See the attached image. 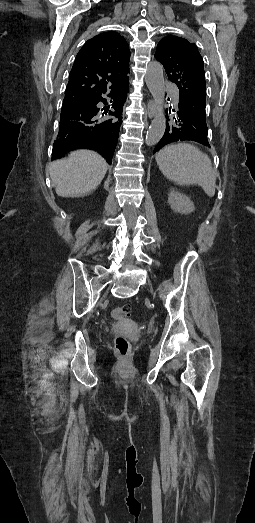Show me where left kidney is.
Returning <instances> with one entry per match:
<instances>
[{
    "label": "left kidney",
    "instance_id": "5707ae66",
    "mask_svg": "<svg viewBox=\"0 0 255 523\" xmlns=\"http://www.w3.org/2000/svg\"><path fill=\"white\" fill-rule=\"evenodd\" d=\"M168 204H170L174 212H179V214H190V212L195 210L193 202L184 194L176 192V190H170Z\"/></svg>",
    "mask_w": 255,
    "mask_h": 523
}]
</instances>
